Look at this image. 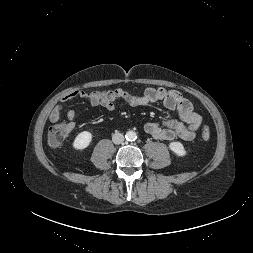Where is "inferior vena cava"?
I'll use <instances>...</instances> for the list:
<instances>
[{
    "instance_id": "obj_1",
    "label": "inferior vena cava",
    "mask_w": 253,
    "mask_h": 253,
    "mask_svg": "<svg viewBox=\"0 0 253 253\" xmlns=\"http://www.w3.org/2000/svg\"><path fill=\"white\" fill-rule=\"evenodd\" d=\"M112 141L114 144H121L124 141V135L117 132V133L113 134Z\"/></svg>"
}]
</instances>
